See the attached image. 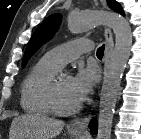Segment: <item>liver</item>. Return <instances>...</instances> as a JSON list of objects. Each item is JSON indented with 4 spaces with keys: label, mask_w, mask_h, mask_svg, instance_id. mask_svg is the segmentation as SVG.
<instances>
[{
    "label": "liver",
    "mask_w": 141,
    "mask_h": 139,
    "mask_svg": "<svg viewBox=\"0 0 141 139\" xmlns=\"http://www.w3.org/2000/svg\"><path fill=\"white\" fill-rule=\"evenodd\" d=\"M65 123L41 114H24L13 119L11 139H54Z\"/></svg>",
    "instance_id": "liver-1"
}]
</instances>
